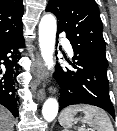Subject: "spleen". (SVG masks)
<instances>
[{"mask_svg":"<svg viewBox=\"0 0 117 131\" xmlns=\"http://www.w3.org/2000/svg\"><path fill=\"white\" fill-rule=\"evenodd\" d=\"M81 112L83 117L75 118L76 114ZM59 123L64 128H71L73 122L81 121L82 124H88L91 131H114L113 125L107 113L102 109L87 105L79 104L67 107L63 110L58 118ZM78 131H87L82 125Z\"/></svg>","mask_w":117,"mask_h":131,"instance_id":"1","label":"spleen"}]
</instances>
